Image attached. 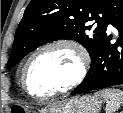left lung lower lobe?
I'll use <instances>...</instances> for the list:
<instances>
[{"label":"left lung lower lobe","mask_w":123,"mask_h":113,"mask_svg":"<svg viewBox=\"0 0 123 113\" xmlns=\"http://www.w3.org/2000/svg\"><path fill=\"white\" fill-rule=\"evenodd\" d=\"M106 14V26L111 24L118 30L119 40L111 44L112 36L106 35L91 58L85 79L71 95L123 84V0H111Z\"/></svg>","instance_id":"obj_1"}]
</instances>
